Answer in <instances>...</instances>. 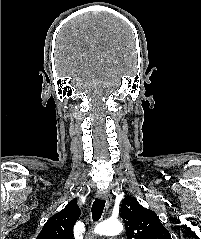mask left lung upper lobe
<instances>
[{
  "label": "left lung upper lobe",
  "instance_id": "5c2ea615",
  "mask_svg": "<svg viewBox=\"0 0 201 239\" xmlns=\"http://www.w3.org/2000/svg\"><path fill=\"white\" fill-rule=\"evenodd\" d=\"M120 217L125 222L128 239H172L156 213L142 207L134 197L123 199Z\"/></svg>",
  "mask_w": 201,
  "mask_h": 239
}]
</instances>
